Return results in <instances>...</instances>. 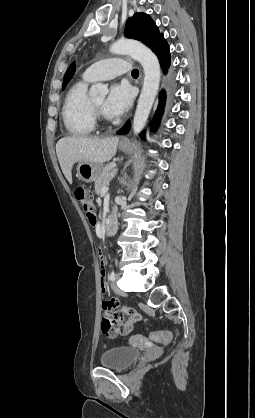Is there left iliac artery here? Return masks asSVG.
Masks as SVG:
<instances>
[{"label": "left iliac artery", "instance_id": "44dca946", "mask_svg": "<svg viewBox=\"0 0 255 418\" xmlns=\"http://www.w3.org/2000/svg\"><path fill=\"white\" fill-rule=\"evenodd\" d=\"M109 279H110L111 281H114V280H115V272H114V270H112V271H111V273H110V275H109Z\"/></svg>", "mask_w": 255, "mask_h": 418}]
</instances>
